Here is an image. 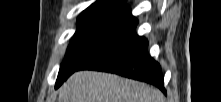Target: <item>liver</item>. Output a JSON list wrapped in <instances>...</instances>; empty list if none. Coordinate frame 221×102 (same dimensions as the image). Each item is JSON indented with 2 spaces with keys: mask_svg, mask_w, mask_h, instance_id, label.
Here are the masks:
<instances>
[{
  "mask_svg": "<svg viewBox=\"0 0 221 102\" xmlns=\"http://www.w3.org/2000/svg\"><path fill=\"white\" fill-rule=\"evenodd\" d=\"M153 87L114 74L79 71L60 89L59 102H163Z\"/></svg>",
  "mask_w": 221,
  "mask_h": 102,
  "instance_id": "6515ba94",
  "label": "liver"
}]
</instances>
